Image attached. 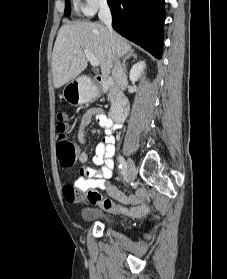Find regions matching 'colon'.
Returning a JSON list of instances; mask_svg holds the SVG:
<instances>
[{
  "mask_svg": "<svg viewBox=\"0 0 227 279\" xmlns=\"http://www.w3.org/2000/svg\"><path fill=\"white\" fill-rule=\"evenodd\" d=\"M68 115L64 110H60L57 114V145H56V153L60 164L63 167L72 166L77 157H78V148L77 146L68 140L66 136V125H67ZM100 194L97 192H93L89 194V199L99 198Z\"/></svg>",
  "mask_w": 227,
  "mask_h": 279,
  "instance_id": "colon-1",
  "label": "colon"
}]
</instances>
